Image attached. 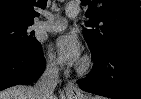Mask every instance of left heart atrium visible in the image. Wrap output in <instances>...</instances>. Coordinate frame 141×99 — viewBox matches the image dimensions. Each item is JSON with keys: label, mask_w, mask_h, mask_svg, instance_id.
I'll use <instances>...</instances> for the list:
<instances>
[{"label": "left heart atrium", "mask_w": 141, "mask_h": 99, "mask_svg": "<svg viewBox=\"0 0 141 99\" xmlns=\"http://www.w3.org/2000/svg\"><path fill=\"white\" fill-rule=\"evenodd\" d=\"M55 48L63 62L68 65L77 64L82 55V46L79 39L72 34H65L55 41Z\"/></svg>", "instance_id": "left-heart-atrium-1"}]
</instances>
